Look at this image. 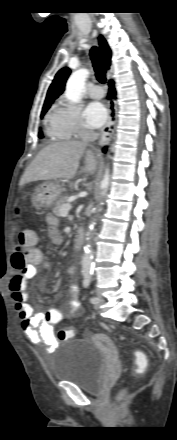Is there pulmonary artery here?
Returning <instances> with one entry per match:
<instances>
[{"label": "pulmonary artery", "mask_w": 177, "mask_h": 440, "mask_svg": "<svg viewBox=\"0 0 177 440\" xmlns=\"http://www.w3.org/2000/svg\"><path fill=\"white\" fill-rule=\"evenodd\" d=\"M89 95L91 98L93 99H101L104 96V90L101 86L99 85H94L90 92Z\"/></svg>", "instance_id": "e3ab8cb5"}]
</instances>
